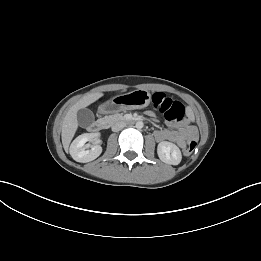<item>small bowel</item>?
Wrapping results in <instances>:
<instances>
[{
    "instance_id": "small-bowel-1",
    "label": "small bowel",
    "mask_w": 261,
    "mask_h": 261,
    "mask_svg": "<svg viewBox=\"0 0 261 261\" xmlns=\"http://www.w3.org/2000/svg\"><path fill=\"white\" fill-rule=\"evenodd\" d=\"M149 115L153 112L148 111ZM157 141H172L175 142L180 148H185L189 141L196 139L197 132L192 127H184L173 125L172 129L158 130L154 134Z\"/></svg>"
}]
</instances>
